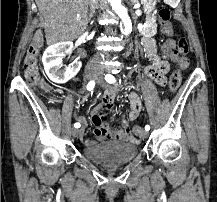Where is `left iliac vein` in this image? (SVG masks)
I'll use <instances>...</instances> for the list:
<instances>
[{
  "label": "left iliac vein",
  "instance_id": "left-iliac-vein-1",
  "mask_svg": "<svg viewBox=\"0 0 217 202\" xmlns=\"http://www.w3.org/2000/svg\"><path fill=\"white\" fill-rule=\"evenodd\" d=\"M103 87H107V86L103 85ZM148 135H149V134H148V132H147L146 130H141V131H140V137H141V138H143V139H144V138H147Z\"/></svg>",
  "mask_w": 217,
  "mask_h": 202
}]
</instances>
